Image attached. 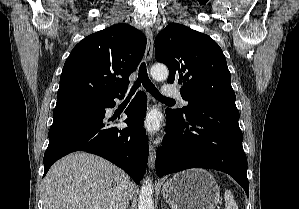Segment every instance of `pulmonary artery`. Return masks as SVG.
<instances>
[{"label":"pulmonary artery","instance_id":"e3ab8cb5","mask_svg":"<svg viewBox=\"0 0 299 209\" xmlns=\"http://www.w3.org/2000/svg\"><path fill=\"white\" fill-rule=\"evenodd\" d=\"M162 94L165 97L177 98V99L181 100V102L184 105L187 104V102L182 98L180 90L176 87H173L172 85H169V84L164 85V87L162 88Z\"/></svg>","mask_w":299,"mask_h":209}]
</instances>
